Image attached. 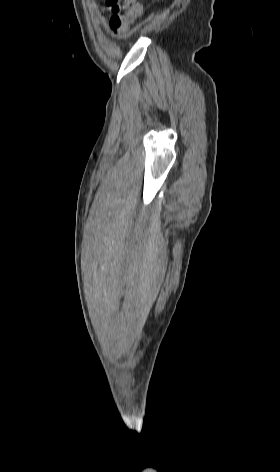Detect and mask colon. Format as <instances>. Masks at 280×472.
I'll use <instances>...</instances> for the list:
<instances>
[{"label": "colon", "instance_id": "1", "mask_svg": "<svg viewBox=\"0 0 280 472\" xmlns=\"http://www.w3.org/2000/svg\"><path fill=\"white\" fill-rule=\"evenodd\" d=\"M105 8L111 15V23L114 26H126L132 23L142 12L139 0H104Z\"/></svg>", "mask_w": 280, "mask_h": 472}]
</instances>
